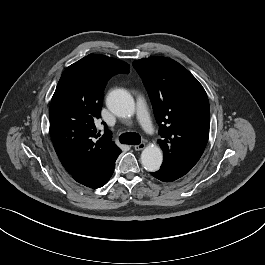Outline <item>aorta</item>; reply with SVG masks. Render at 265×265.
I'll return each instance as SVG.
<instances>
[{
    "instance_id": "aorta-1",
    "label": "aorta",
    "mask_w": 265,
    "mask_h": 265,
    "mask_svg": "<svg viewBox=\"0 0 265 265\" xmlns=\"http://www.w3.org/2000/svg\"><path fill=\"white\" fill-rule=\"evenodd\" d=\"M108 109L119 117H131L135 112L133 97L125 89L117 88L109 92L106 98ZM163 160L162 150L158 146H148L141 153V163L145 170H159Z\"/></svg>"
}]
</instances>
